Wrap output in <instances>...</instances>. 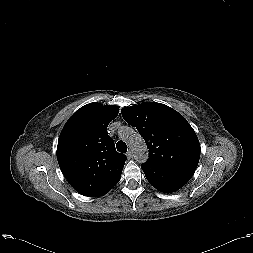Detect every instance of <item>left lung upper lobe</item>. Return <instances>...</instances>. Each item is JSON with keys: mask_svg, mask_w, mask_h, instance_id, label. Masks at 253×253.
<instances>
[{"mask_svg": "<svg viewBox=\"0 0 253 253\" xmlns=\"http://www.w3.org/2000/svg\"><path fill=\"white\" fill-rule=\"evenodd\" d=\"M124 120L136 127L149 149L145 164L196 170L200 143L187 120L160 103H144L121 110Z\"/></svg>", "mask_w": 253, "mask_h": 253, "instance_id": "left-lung-upper-lobe-1", "label": "left lung upper lobe"}]
</instances>
